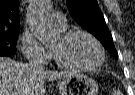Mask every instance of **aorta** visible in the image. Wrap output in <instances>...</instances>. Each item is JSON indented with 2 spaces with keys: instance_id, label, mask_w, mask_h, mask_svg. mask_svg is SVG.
Instances as JSON below:
<instances>
[{
  "instance_id": "762f6f07",
  "label": "aorta",
  "mask_w": 135,
  "mask_h": 95,
  "mask_svg": "<svg viewBox=\"0 0 135 95\" xmlns=\"http://www.w3.org/2000/svg\"><path fill=\"white\" fill-rule=\"evenodd\" d=\"M49 9V0H33L28 11L29 28L42 43L51 42L56 37V32L51 28L48 21Z\"/></svg>"
}]
</instances>
